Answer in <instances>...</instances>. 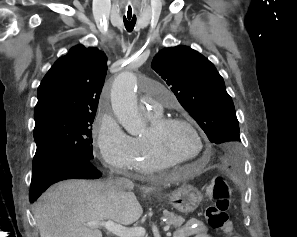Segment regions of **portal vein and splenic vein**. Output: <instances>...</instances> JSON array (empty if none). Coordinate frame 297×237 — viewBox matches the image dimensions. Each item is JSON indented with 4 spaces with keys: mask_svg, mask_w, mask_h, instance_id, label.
Here are the masks:
<instances>
[{
    "mask_svg": "<svg viewBox=\"0 0 297 237\" xmlns=\"http://www.w3.org/2000/svg\"><path fill=\"white\" fill-rule=\"evenodd\" d=\"M86 226L88 227H104L107 231L118 237H144L146 235V230L143 227L136 228H126L120 224H117L111 220L108 221H91L87 222ZM170 229L169 225L164 227V231H168Z\"/></svg>",
    "mask_w": 297,
    "mask_h": 237,
    "instance_id": "obj_1",
    "label": "portal vein and splenic vein"
}]
</instances>
